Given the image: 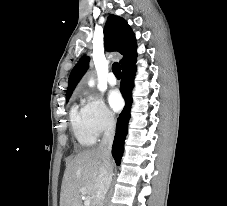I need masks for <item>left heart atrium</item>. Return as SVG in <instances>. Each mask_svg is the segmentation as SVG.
Segmentation results:
<instances>
[{"label": "left heart atrium", "instance_id": "obj_1", "mask_svg": "<svg viewBox=\"0 0 227 206\" xmlns=\"http://www.w3.org/2000/svg\"><path fill=\"white\" fill-rule=\"evenodd\" d=\"M108 101L114 111H119L123 107V98L118 90L110 91Z\"/></svg>", "mask_w": 227, "mask_h": 206}]
</instances>
